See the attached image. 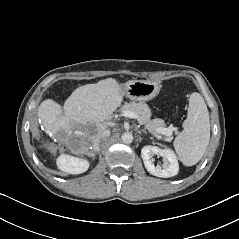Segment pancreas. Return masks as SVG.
<instances>
[{"mask_svg": "<svg viewBox=\"0 0 239 239\" xmlns=\"http://www.w3.org/2000/svg\"><path fill=\"white\" fill-rule=\"evenodd\" d=\"M121 109L136 113L138 115V122L144 125V127L156 137L159 135L158 129L164 128L165 126L164 120L158 118L151 119V110L144 102L126 103Z\"/></svg>", "mask_w": 239, "mask_h": 239, "instance_id": "cf45deb5", "label": "pancreas"}]
</instances>
